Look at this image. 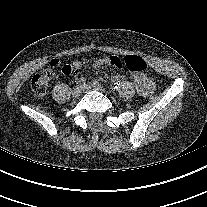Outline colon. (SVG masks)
I'll list each match as a JSON object with an SVG mask.
<instances>
[{
	"label": "colon",
	"mask_w": 207,
	"mask_h": 207,
	"mask_svg": "<svg viewBox=\"0 0 207 207\" xmlns=\"http://www.w3.org/2000/svg\"><path fill=\"white\" fill-rule=\"evenodd\" d=\"M124 64L131 72H143L147 69L145 60L137 55H127L124 58ZM52 66H55L52 64ZM73 67L70 65H64L62 71H72ZM53 71L51 69H45L40 73L33 76L31 79V90L35 97L42 98L48 92L49 86L53 79Z\"/></svg>",
	"instance_id": "5ec220e1"
}]
</instances>
